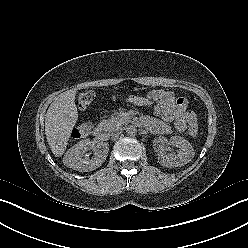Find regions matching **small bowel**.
<instances>
[{
  "label": "small bowel",
  "instance_id": "1",
  "mask_svg": "<svg viewBox=\"0 0 248 248\" xmlns=\"http://www.w3.org/2000/svg\"><path fill=\"white\" fill-rule=\"evenodd\" d=\"M136 105L155 104L154 114L159 120L148 117L142 119V122L149 126L151 130L159 134H167L171 131L170 123L174 121V127L177 131L183 132L187 128L190 118L196 116L188 111V102L186 99L176 97L173 92L167 90H152L144 97H134L130 99Z\"/></svg>",
  "mask_w": 248,
  "mask_h": 248
}]
</instances>
